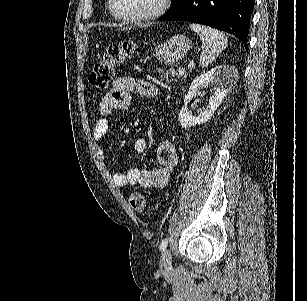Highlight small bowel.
Here are the masks:
<instances>
[{"label": "small bowel", "instance_id": "small-bowel-1", "mask_svg": "<svg viewBox=\"0 0 307 301\" xmlns=\"http://www.w3.org/2000/svg\"><path fill=\"white\" fill-rule=\"evenodd\" d=\"M136 91L138 94L153 98L158 95V88L146 80H136L131 77H120L114 81L111 90L99 103L101 116L96 120L93 129V138L101 140L108 132V117L115 110H125L131 105V94ZM133 150L142 154L146 150V141L138 139L133 144ZM99 153L104 157V152L99 148ZM158 160L160 167L157 169L131 168L127 173L116 172L113 174V181L119 187L127 185H138L143 188H164L171 177L178 162V155L174 145L170 142H163L158 149Z\"/></svg>", "mask_w": 307, "mask_h": 301}]
</instances>
